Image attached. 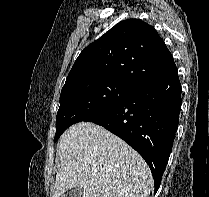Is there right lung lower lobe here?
Wrapping results in <instances>:
<instances>
[{
  "label": "right lung lower lobe",
  "instance_id": "1",
  "mask_svg": "<svg viewBox=\"0 0 209 197\" xmlns=\"http://www.w3.org/2000/svg\"><path fill=\"white\" fill-rule=\"evenodd\" d=\"M181 109L176 65L85 121L103 126L134 148L149 165L158 190L172 150Z\"/></svg>",
  "mask_w": 209,
  "mask_h": 197
}]
</instances>
